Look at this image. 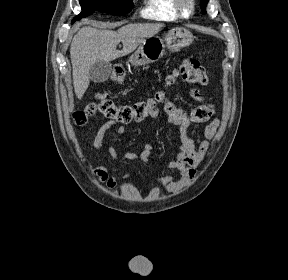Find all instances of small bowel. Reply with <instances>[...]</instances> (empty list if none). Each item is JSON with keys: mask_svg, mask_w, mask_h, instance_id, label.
Instances as JSON below:
<instances>
[{"mask_svg": "<svg viewBox=\"0 0 288 280\" xmlns=\"http://www.w3.org/2000/svg\"><path fill=\"white\" fill-rule=\"evenodd\" d=\"M191 95L195 100L202 102V104L190 111H184L178 108L168 97H164L162 110L156 107L149 114L150 117L155 118L163 112L167 123L176 127L180 132V141L175 158L171 161L161 163V166L166 169L177 170L179 173L178 176L167 175L156 179V182L169 192H175L186 187L189 181L195 177L198 167L206 156L209 140L213 138L219 125L217 119H212L214 107L204 102L199 90L193 89ZM211 119L212 121L205 128L206 140L201 142L197 148L194 139L189 134V128L193 124L205 123ZM113 124V121L105 122L94 136L93 146L97 151H104V138ZM116 132L118 135H124L126 128L120 126ZM107 153L112 160L119 161L121 165L129 160L140 159L146 161L152 156L149 145L145 146L140 152L126 151L123 153L122 158H119L114 145L108 147ZM93 173L98 177V181L104 183L109 189H114L118 184V180L109 175L105 166L95 167ZM122 176L125 179L129 178V175L125 172H122Z\"/></svg>", "mask_w": 288, "mask_h": 280, "instance_id": "obj_1", "label": "small bowel"}]
</instances>
